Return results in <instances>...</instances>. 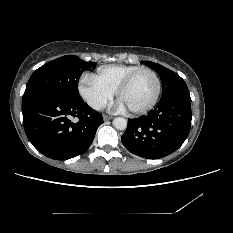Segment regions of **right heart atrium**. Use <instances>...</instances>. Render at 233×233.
<instances>
[{
  "label": "right heart atrium",
  "instance_id": "obj_1",
  "mask_svg": "<svg viewBox=\"0 0 233 233\" xmlns=\"http://www.w3.org/2000/svg\"><path fill=\"white\" fill-rule=\"evenodd\" d=\"M78 92L82 99L94 110H102L113 99L114 93L97 83L91 76L81 79Z\"/></svg>",
  "mask_w": 233,
  "mask_h": 233
}]
</instances>
